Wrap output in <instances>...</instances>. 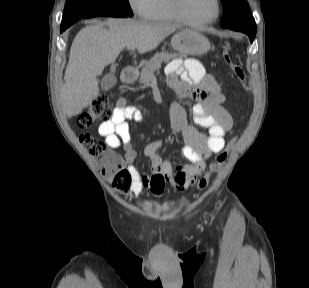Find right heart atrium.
I'll use <instances>...</instances> for the list:
<instances>
[{
	"instance_id": "d8ad5b80",
	"label": "right heart atrium",
	"mask_w": 309,
	"mask_h": 288,
	"mask_svg": "<svg viewBox=\"0 0 309 288\" xmlns=\"http://www.w3.org/2000/svg\"><path fill=\"white\" fill-rule=\"evenodd\" d=\"M128 4L136 15L141 18H147L152 0H128Z\"/></svg>"
}]
</instances>
